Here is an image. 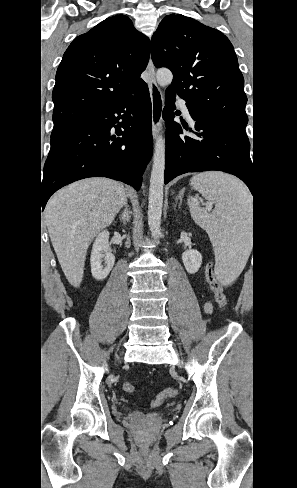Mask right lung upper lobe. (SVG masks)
<instances>
[{
    "mask_svg": "<svg viewBox=\"0 0 297 488\" xmlns=\"http://www.w3.org/2000/svg\"><path fill=\"white\" fill-rule=\"evenodd\" d=\"M149 52V39L125 15L75 38L56 73L52 133L112 106L144 82Z\"/></svg>",
    "mask_w": 297,
    "mask_h": 488,
    "instance_id": "1",
    "label": "right lung upper lobe"
}]
</instances>
